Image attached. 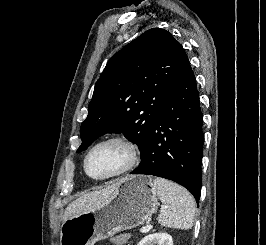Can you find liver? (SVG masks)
<instances>
[{"label": "liver", "instance_id": "liver-1", "mask_svg": "<svg viewBox=\"0 0 266 245\" xmlns=\"http://www.w3.org/2000/svg\"><path fill=\"white\" fill-rule=\"evenodd\" d=\"M119 185L120 183H114V185H109V187H105V189H100V191H92V193H87V195H83V197H80V199L72 201L64 213L63 221L72 219L74 215H82V213L96 211V209L101 207V205L109 203L114 193H117Z\"/></svg>", "mask_w": 266, "mask_h": 245}]
</instances>
